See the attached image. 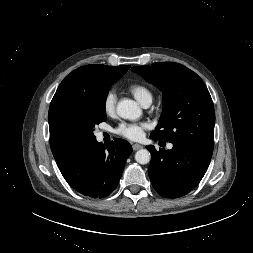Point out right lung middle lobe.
Returning <instances> with one entry per match:
<instances>
[{
  "mask_svg": "<svg viewBox=\"0 0 253 253\" xmlns=\"http://www.w3.org/2000/svg\"><path fill=\"white\" fill-rule=\"evenodd\" d=\"M112 83H103L98 93L89 99L71 100L61 108V128L76 145L96 139L94 127L106 120L105 103Z\"/></svg>",
  "mask_w": 253,
  "mask_h": 253,
  "instance_id": "dd1d6c3e",
  "label": "right lung middle lobe"
}]
</instances>
